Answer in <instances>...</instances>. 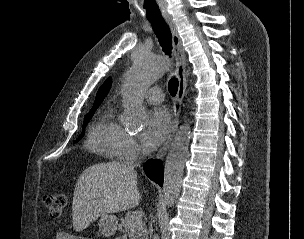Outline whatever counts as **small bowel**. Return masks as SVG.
Returning <instances> with one entry per match:
<instances>
[{
	"instance_id": "small-bowel-1",
	"label": "small bowel",
	"mask_w": 304,
	"mask_h": 239,
	"mask_svg": "<svg viewBox=\"0 0 304 239\" xmlns=\"http://www.w3.org/2000/svg\"><path fill=\"white\" fill-rule=\"evenodd\" d=\"M56 239H75V236L64 231H58L55 236Z\"/></svg>"
}]
</instances>
